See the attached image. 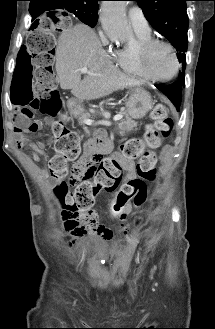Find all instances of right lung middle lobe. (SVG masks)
Masks as SVG:
<instances>
[{"mask_svg": "<svg viewBox=\"0 0 215 329\" xmlns=\"http://www.w3.org/2000/svg\"><path fill=\"white\" fill-rule=\"evenodd\" d=\"M62 8L63 9L61 10L65 15H67V13H73L76 17L80 19V21L89 25L92 28L97 23V19H93L87 15L86 9L82 4L66 3L62 5Z\"/></svg>", "mask_w": 215, "mask_h": 329, "instance_id": "right-lung-middle-lobe-1", "label": "right lung middle lobe"}]
</instances>
